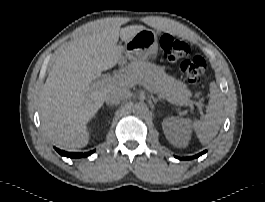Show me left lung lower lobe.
Returning <instances> with one entry per match:
<instances>
[{"label":"left lung lower lobe","mask_w":265,"mask_h":202,"mask_svg":"<svg viewBox=\"0 0 265 202\" xmlns=\"http://www.w3.org/2000/svg\"><path fill=\"white\" fill-rule=\"evenodd\" d=\"M206 152H207V151L205 150V151H203V152H201V153H199V154H197V155H195V156L188 157L187 159H194V158H197V157L201 156L202 154H204V153H206Z\"/></svg>","instance_id":"0a47b994"}]
</instances>
